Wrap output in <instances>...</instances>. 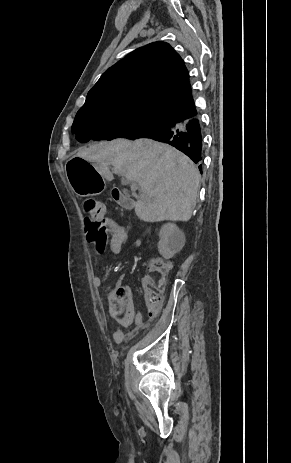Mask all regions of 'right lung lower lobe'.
<instances>
[{"instance_id":"1","label":"right lung lower lobe","mask_w":291,"mask_h":463,"mask_svg":"<svg viewBox=\"0 0 291 463\" xmlns=\"http://www.w3.org/2000/svg\"><path fill=\"white\" fill-rule=\"evenodd\" d=\"M139 138H151L174 146L198 164L202 172L203 136L197 116L187 121L178 116L167 117L162 126Z\"/></svg>"}]
</instances>
